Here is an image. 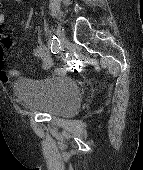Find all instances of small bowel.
I'll use <instances>...</instances> for the list:
<instances>
[{
    "label": "small bowel",
    "instance_id": "small-bowel-1",
    "mask_svg": "<svg viewBox=\"0 0 143 170\" xmlns=\"http://www.w3.org/2000/svg\"><path fill=\"white\" fill-rule=\"evenodd\" d=\"M5 19V14L0 12V81L3 83H9L12 77L19 76L20 73L14 69H7L5 66L3 49L10 43L9 39L3 33ZM33 56L41 62L44 69H49L52 67L53 59L45 47L43 41L40 39L37 41L34 47ZM61 71L63 72L65 70L61 69Z\"/></svg>",
    "mask_w": 143,
    "mask_h": 170
}]
</instances>
